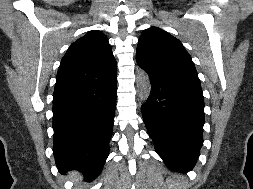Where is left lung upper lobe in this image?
Wrapping results in <instances>:
<instances>
[{
  "label": "left lung upper lobe",
  "instance_id": "left-lung-upper-lobe-1",
  "mask_svg": "<svg viewBox=\"0 0 253 189\" xmlns=\"http://www.w3.org/2000/svg\"><path fill=\"white\" fill-rule=\"evenodd\" d=\"M136 61L150 76L171 79L202 90L189 53L177 38L160 28L150 27L142 32Z\"/></svg>",
  "mask_w": 253,
  "mask_h": 189
}]
</instances>
